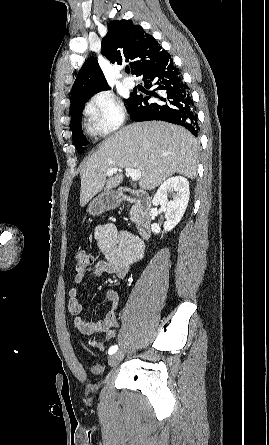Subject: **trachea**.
<instances>
[{
	"mask_svg": "<svg viewBox=\"0 0 269 445\" xmlns=\"http://www.w3.org/2000/svg\"><path fill=\"white\" fill-rule=\"evenodd\" d=\"M126 73H130V69L129 68H126Z\"/></svg>",
	"mask_w": 269,
	"mask_h": 445,
	"instance_id": "1",
	"label": "trachea"
}]
</instances>
